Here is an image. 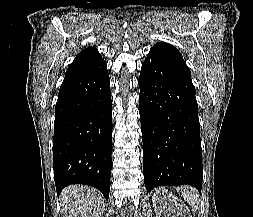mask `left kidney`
<instances>
[{
  "instance_id": "1",
  "label": "left kidney",
  "mask_w": 253,
  "mask_h": 217,
  "mask_svg": "<svg viewBox=\"0 0 253 217\" xmlns=\"http://www.w3.org/2000/svg\"><path fill=\"white\" fill-rule=\"evenodd\" d=\"M156 217H192L188 207L165 188H159L153 195Z\"/></svg>"
}]
</instances>
